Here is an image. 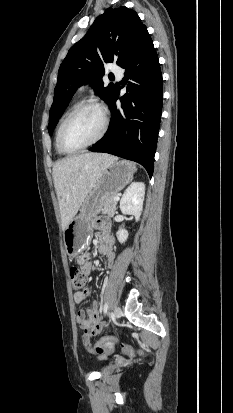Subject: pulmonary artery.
<instances>
[{
    "mask_svg": "<svg viewBox=\"0 0 233 413\" xmlns=\"http://www.w3.org/2000/svg\"><path fill=\"white\" fill-rule=\"evenodd\" d=\"M111 71L117 76V78H121V77H122L123 72H122V69H121V68H119V67H117V66H114V67H112ZM87 88H88V84H84V85H82V86L79 87L78 92H79V93H82V92H84Z\"/></svg>",
    "mask_w": 233,
    "mask_h": 413,
    "instance_id": "e3ab8cb5",
    "label": "pulmonary artery"
}]
</instances>
